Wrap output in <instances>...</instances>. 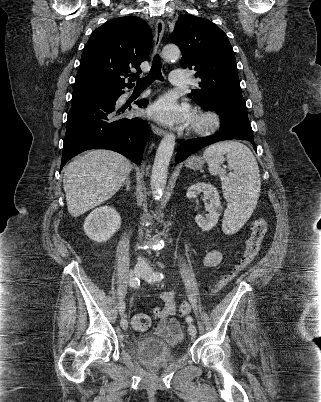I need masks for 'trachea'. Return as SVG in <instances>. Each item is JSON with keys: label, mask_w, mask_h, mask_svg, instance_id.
<instances>
[{"label": "trachea", "mask_w": 321, "mask_h": 402, "mask_svg": "<svg viewBox=\"0 0 321 402\" xmlns=\"http://www.w3.org/2000/svg\"><path fill=\"white\" fill-rule=\"evenodd\" d=\"M162 64L160 57L158 55H155L153 58L152 66L150 69L149 74L137 81L136 88L137 89H145L148 86H150L155 80H160L163 81L164 78L162 76L161 72Z\"/></svg>", "instance_id": "obj_1"}]
</instances>
